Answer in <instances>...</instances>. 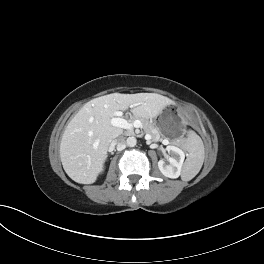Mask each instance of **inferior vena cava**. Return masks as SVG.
<instances>
[{"label":"inferior vena cava","mask_w":264,"mask_h":264,"mask_svg":"<svg viewBox=\"0 0 264 264\" xmlns=\"http://www.w3.org/2000/svg\"><path fill=\"white\" fill-rule=\"evenodd\" d=\"M114 145H116V148L118 151H121L125 149L126 147V140L124 136L119 135L113 140Z\"/></svg>","instance_id":"602c4592"}]
</instances>
